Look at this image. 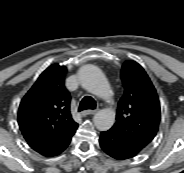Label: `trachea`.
<instances>
[{
  "label": "trachea",
  "instance_id": "obj_1",
  "mask_svg": "<svg viewBox=\"0 0 184 173\" xmlns=\"http://www.w3.org/2000/svg\"><path fill=\"white\" fill-rule=\"evenodd\" d=\"M96 108V102L95 100L90 96H85L80 104H79V111L87 110V109H95Z\"/></svg>",
  "mask_w": 184,
  "mask_h": 173
}]
</instances>
